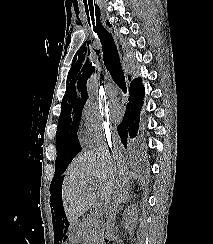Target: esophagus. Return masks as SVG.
Returning <instances> with one entry per match:
<instances>
[{
	"label": "esophagus",
	"instance_id": "34e87169",
	"mask_svg": "<svg viewBox=\"0 0 213 244\" xmlns=\"http://www.w3.org/2000/svg\"><path fill=\"white\" fill-rule=\"evenodd\" d=\"M119 47V46H118ZM126 75H127V83H130V78H129V73L127 71H125Z\"/></svg>",
	"mask_w": 213,
	"mask_h": 244
}]
</instances>
